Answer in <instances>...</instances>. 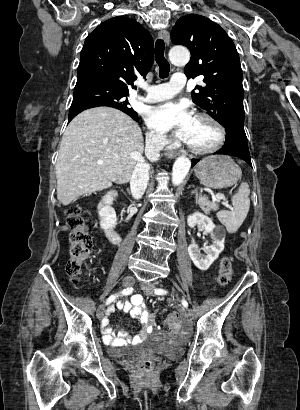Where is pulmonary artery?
I'll use <instances>...</instances> for the list:
<instances>
[{
	"label": "pulmonary artery",
	"mask_w": 300,
	"mask_h": 410,
	"mask_svg": "<svg viewBox=\"0 0 300 410\" xmlns=\"http://www.w3.org/2000/svg\"><path fill=\"white\" fill-rule=\"evenodd\" d=\"M186 85V76L183 73H175L170 82L160 85H142L147 94L141 99L146 102H160L173 97Z\"/></svg>",
	"instance_id": "1"
}]
</instances>
